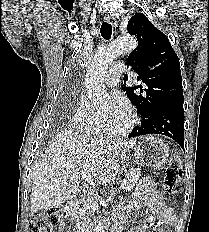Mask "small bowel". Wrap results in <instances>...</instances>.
<instances>
[{
	"label": "small bowel",
	"instance_id": "1",
	"mask_svg": "<svg viewBox=\"0 0 209 232\" xmlns=\"http://www.w3.org/2000/svg\"><path fill=\"white\" fill-rule=\"evenodd\" d=\"M129 207L136 210L144 209V212L147 214L141 226L135 228L133 232H170L164 226H170L176 222V216L172 208L164 202L163 195L156 183L149 179H144L140 182L133 200L129 203ZM125 217L123 209L116 213V219L119 223H122ZM60 232H64V230L61 229Z\"/></svg>",
	"mask_w": 209,
	"mask_h": 232
}]
</instances>
